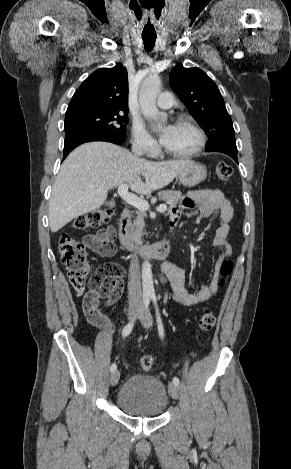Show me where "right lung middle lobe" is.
I'll return each instance as SVG.
<instances>
[{
    "mask_svg": "<svg viewBox=\"0 0 291 469\" xmlns=\"http://www.w3.org/2000/svg\"><path fill=\"white\" fill-rule=\"evenodd\" d=\"M127 112L120 115V111L90 109L66 113L65 134L75 132H100L107 134H121L126 132Z\"/></svg>",
    "mask_w": 291,
    "mask_h": 469,
    "instance_id": "right-lung-middle-lobe-1",
    "label": "right lung middle lobe"
}]
</instances>
